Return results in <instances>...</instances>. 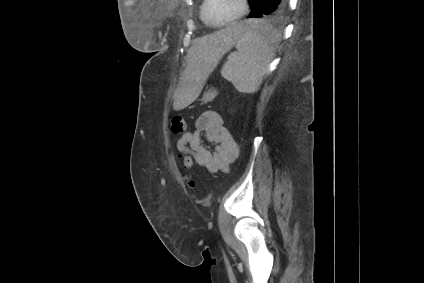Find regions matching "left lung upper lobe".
<instances>
[{
	"label": "left lung upper lobe",
	"instance_id": "5c2ea615",
	"mask_svg": "<svg viewBox=\"0 0 424 283\" xmlns=\"http://www.w3.org/2000/svg\"><path fill=\"white\" fill-rule=\"evenodd\" d=\"M249 4L251 5V12L250 14H253L256 10V5L258 0H248ZM284 10L280 9L276 13L272 14L271 16H277L278 14L282 13Z\"/></svg>",
	"mask_w": 424,
	"mask_h": 283
}]
</instances>
